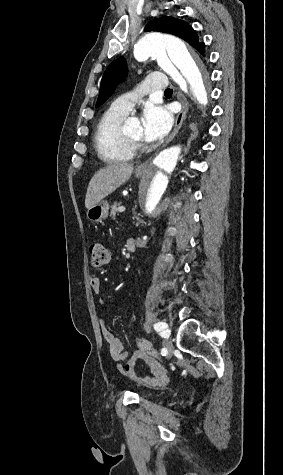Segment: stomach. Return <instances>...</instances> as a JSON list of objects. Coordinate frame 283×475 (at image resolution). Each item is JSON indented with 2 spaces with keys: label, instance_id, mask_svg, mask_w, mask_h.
Masks as SVG:
<instances>
[{
  "label": "stomach",
  "instance_id": "1",
  "mask_svg": "<svg viewBox=\"0 0 283 475\" xmlns=\"http://www.w3.org/2000/svg\"><path fill=\"white\" fill-rule=\"evenodd\" d=\"M150 170L147 168L145 172H137L135 170L136 178H141V176H147ZM109 212V204L107 200H102V202H98L96 206H92V208H88L87 210V218L92 222V224H98V222H102V220H106L108 218Z\"/></svg>",
  "mask_w": 283,
  "mask_h": 475
}]
</instances>
